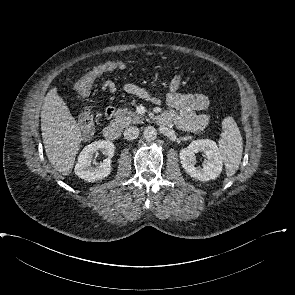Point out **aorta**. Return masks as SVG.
I'll return each mask as SVG.
<instances>
[{"label": "aorta", "instance_id": "aorta-1", "mask_svg": "<svg viewBox=\"0 0 295 295\" xmlns=\"http://www.w3.org/2000/svg\"><path fill=\"white\" fill-rule=\"evenodd\" d=\"M143 134L146 140H154L157 137V130L153 126H147Z\"/></svg>", "mask_w": 295, "mask_h": 295}]
</instances>
